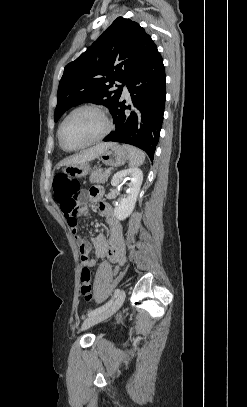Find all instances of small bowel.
<instances>
[{
	"label": "small bowel",
	"mask_w": 247,
	"mask_h": 407,
	"mask_svg": "<svg viewBox=\"0 0 247 407\" xmlns=\"http://www.w3.org/2000/svg\"><path fill=\"white\" fill-rule=\"evenodd\" d=\"M101 195L102 190L99 187H93L87 193L76 195L72 199L59 203L66 223L79 245L81 262L84 267L91 268L96 264L97 259L104 257H108L116 264H122L126 257L122 226L114 215L112 207L108 203L99 201ZM86 200L98 201V209L109 229V239L104 234H98L92 238L91 242H88L78 235V217L87 212ZM92 248H94L95 258L90 257Z\"/></svg>",
	"instance_id": "obj_1"
}]
</instances>
